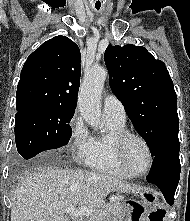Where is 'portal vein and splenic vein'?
I'll use <instances>...</instances> for the list:
<instances>
[{"label":"portal vein and splenic vein","instance_id":"18ae733b","mask_svg":"<svg viewBox=\"0 0 190 221\" xmlns=\"http://www.w3.org/2000/svg\"><path fill=\"white\" fill-rule=\"evenodd\" d=\"M66 214H69L73 218L81 217V216H93L96 212L92 207L82 206L75 208L74 206H69L65 210Z\"/></svg>","mask_w":190,"mask_h":221}]
</instances>
